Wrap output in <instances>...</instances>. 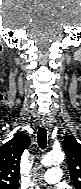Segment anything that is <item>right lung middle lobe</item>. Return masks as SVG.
<instances>
[{
	"label": "right lung middle lobe",
	"mask_w": 81,
	"mask_h": 189,
	"mask_svg": "<svg viewBox=\"0 0 81 189\" xmlns=\"http://www.w3.org/2000/svg\"><path fill=\"white\" fill-rule=\"evenodd\" d=\"M5 189H18V188H11V187H9V188H5Z\"/></svg>",
	"instance_id": "obj_1"
}]
</instances>
